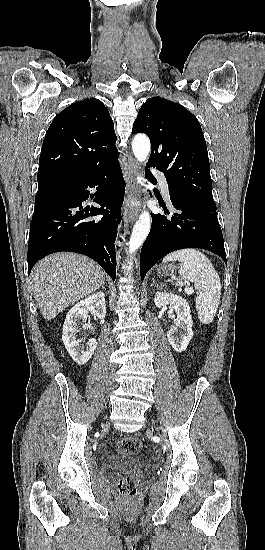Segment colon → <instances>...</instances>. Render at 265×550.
Here are the masks:
<instances>
[{"instance_id": "5ec220e1", "label": "colon", "mask_w": 265, "mask_h": 550, "mask_svg": "<svg viewBox=\"0 0 265 550\" xmlns=\"http://www.w3.org/2000/svg\"><path fill=\"white\" fill-rule=\"evenodd\" d=\"M142 447V442L133 436H125L116 442V450L121 453L137 454L141 451ZM117 489L126 498H133L137 494L136 485L129 476H121L118 479Z\"/></svg>"}]
</instances>
